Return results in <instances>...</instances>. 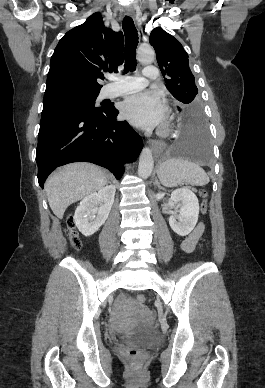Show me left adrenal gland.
I'll use <instances>...</instances> for the list:
<instances>
[{
  "label": "left adrenal gland",
  "mask_w": 265,
  "mask_h": 388,
  "mask_svg": "<svg viewBox=\"0 0 265 388\" xmlns=\"http://www.w3.org/2000/svg\"><path fill=\"white\" fill-rule=\"evenodd\" d=\"M154 186H158V188H161V186H160V184H159L157 178H155Z\"/></svg>",
  "instance_id": "obj_1"
}]
</instances>
